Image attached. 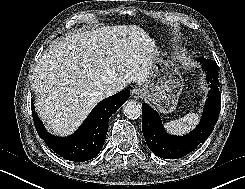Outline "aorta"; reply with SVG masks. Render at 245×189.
Masks as SVG:
<instances>
[{
  "instance_id": "762f6f07",
  "label": "aorta",
  "mask_w": 245,
  "mask_h": 189,
  "mask_svg": "<svg viewBox=\"0 0 245 189\" xmlns=\"http://www.w3.org/2000/svg\"><path fill=\"white\" fill-rule=\"evenodd\" d=\"M124 115L129 119H137L141 116L142 109L140 104H138L136 101H128L124 105Z\"/></svg>"
}]
</instances>
